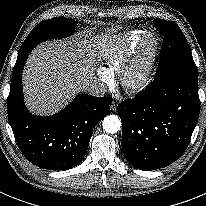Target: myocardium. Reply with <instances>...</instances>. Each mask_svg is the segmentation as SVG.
Instances as JSON below:
<instances>
[{
  "instance_id": "f54148a6",
  "label": "myocardium",
  "mask_w": 206,
  "mask_h": 206,
  "mask_svg": "<svg viewBox=\"0 0 206 206\" xmlns=\"http://www.w3.org/2000/svg\"><path fill=\"white\" fill-rule=\"evenodd\" d=\"M159 54V39L153 33H145L133 55L120 68L122 87L130 93L143 90L151 81ZM143 65L141 72L137 68Z\"/></svg>"
}]
</instances>
